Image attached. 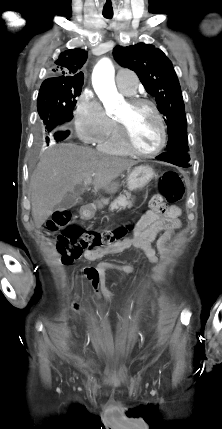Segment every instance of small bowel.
Listing matches in <instances>:
<instances>
[{
    "instance_id": "obj_1",
    "label": "small bowel",
    "mask_w": 222,
    "mask_h": 429,
    "mask_svg": "<svg viewBox=\"0 0 222 429\" xmlns=\"http://www.w3.org/2000/svg\"><path fill=\"white\" fill-rule=\"evenodd\" d=\"M150 206L151 209L137 223L132 238L118 241L106 248L85 251L84 258L87 261H96L108 254H118L127 249L135 248L141 250L148 261L155 266L159 260L158 255L164 256L167 253V242L181 226L179 219L181 209L174 205L166 206L160 195L151 200ZM154 242H156V249L152 245ZM109 270L126 274L135 273L133 266L112 261H102L96 267L83 269V274L91 281L97 298L106 303L113 300V296L105 283V274Z\"/></svg>"
}]
</instances>
